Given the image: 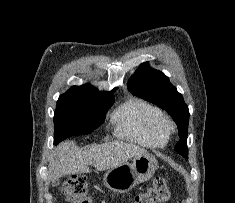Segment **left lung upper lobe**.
I'll use <instances>...</instances> for the list:
<instances>
[{
    "label": "left lung upper lobe",
    "instance_id": "5c2ea615",
    "mask_svg": "<svg viewBox=\"0 0 235 203\" xmlns=\"http://www.w3.org/2000/svg\"><path fill=\"white\" fill-rule=\"evenodd\" d=\"M128 88L133 95L141 97L167 111L178 126L180 140L175 150L184 158H188L187 134L189 110L182 95L170 83L164 73L148 66L140 65L128 82Z\"/></svg>",
    "mask_w": 235,
    "mask_h": 203
}]
</instances>
